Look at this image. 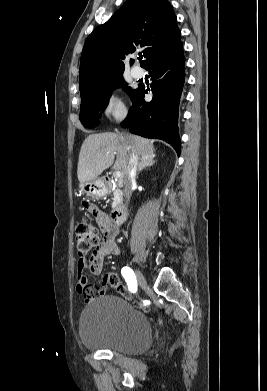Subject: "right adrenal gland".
Returning a JSON list of instances; mask_svg holds the SVG:
<instances>
[{"mask_svg": "<svg viewBox=\"0 0 267 391\" xmlns=\"http://www.w3.org/2000/svg\"><path fill=\"white\" fill-rule=\"evenodd\" d=\"M155 164V160H153V158H145V157H142L141 158V161L139 163V166H138V173L141 172L143 169L147 168V167H151Z\"/></svg>", "mask_w": 267, "mask_h": 391, "instance_id": "2a0ac1e0", "label": "right adrenal gland"}]
</instances>
